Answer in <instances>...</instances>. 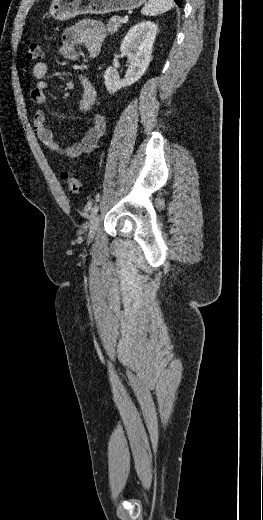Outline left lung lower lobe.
Listing matches in <instances>:
<instances>
[{
    "mask_svg": "<svg viewBox=\"0 0 263 520\" xmlns=\"http://www.w3.org/2000/svg\"><path fill=\"white\" fill-rule=\"evenodd\" d=\"M174 1H175V2L178 4V6L180 7L181 4H182V1H183V0H174Z\"/></svg>",
    "mask_w": 263,
    "mask_h": 520,
    "instance_id": "left-lung-lower-lobe-1",
    "label": "left lung lower lobe"
}]
</instances>
